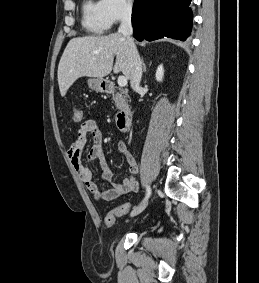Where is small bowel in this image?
Returning a JSON list of instances; mask_svg holds the SVG:
<instances>
[{
    "instance_id": "c3829d8e",
    "label": "small bowel",
    "mask_w": 259,
    "mask_h": 283,
    "mask_svg": "<svg viewBox=\"0 0 259 283\" xmlns=\"http://www.w3.org/2000/svg\"><path fill=\"white\" fill-rule=\"evenodd\" d=\"M88 135L92 136V144L86 154L84 162L82 154L87 143ZM117 151L125 157L129 170V177L125 178L122 183L114 182L113 172L106 162L100 123L95 119H88L80 126L77 138L67 152L72 167L97 200L112 201L122 195L137 193L139 191V183L136 180L138 165L134 156L128 151L127 145L123 141L118 143ZM96 160L100 162L103 169L102 182L111 185L107 190L100 188L88 166L89 163Z\"/></svg>"
}]
</instances>
